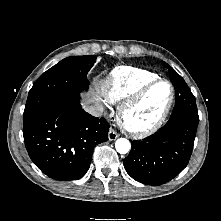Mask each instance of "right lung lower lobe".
Returning a JSON list of instances; mask_svg holds the SVG:
<instances>
[{"label":"right lung lower lobe","mask_w":221,"mask_h":221,"mask_svg":"<svg viewBox=\"0 0 221 221\" xmlns=\"http://www.w3.org/2000/svg\"><path fill=\"white\" fill-rule=\"evenodd\" d=\"M105 118L86 113L80 101L48 109L23 127L33 163L56 180H77L87 172L95 145L108 140Z\"/></svg>","instance_id":"obj_1"}]
</instances>
